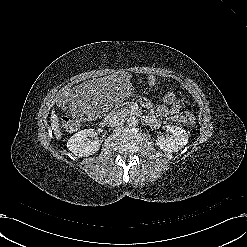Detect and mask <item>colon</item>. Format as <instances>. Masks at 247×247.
Here are the masks:
<instances>
[{"mask_svg":"<svg viewBox=\"0 0 247 247\" xmlns=\"http://www.w3.org/2000/svg\"><path fill=\"white\" fill-rule=\"evenodd\" d=\"M165 98H167L169 100L174 99L175 94L173 92H168L165 95ZM186 123L190 126H194L196 124L195 116L192 114H189L186 118ZM62 125H63L64 129H66L67 131H76L80 128L81 122H80V119L78 117H75V118L64 117L62 119Z\"/></svg>","mask_w":247,"mask_h":247,"instance_id":"5ec220e1","label":"colon"}]
</instances>
